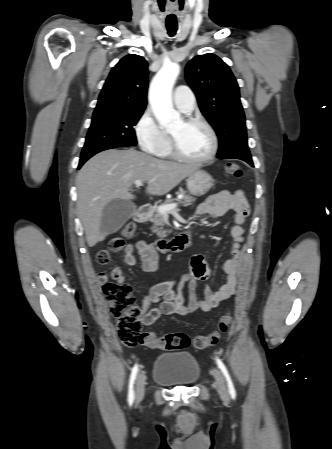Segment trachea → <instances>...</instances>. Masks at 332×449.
<instances>
[{"mask_svg":"<svg viewBox=\"0 0 332 449\" xmlns=\"http://www.w3.org/2000/svg\"><path fill=\"white\" fill-rule=\"evenodd\" d=\"M168 34L172 37L176 34L177 26H167Z\"/></svg>","mask_w":332,"mask_h":449,"instance_id":"3493384b","label":"trachea"}]
</instances>
